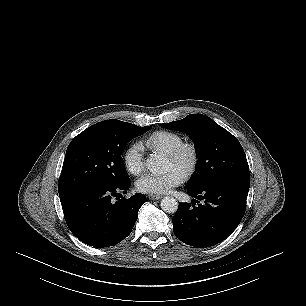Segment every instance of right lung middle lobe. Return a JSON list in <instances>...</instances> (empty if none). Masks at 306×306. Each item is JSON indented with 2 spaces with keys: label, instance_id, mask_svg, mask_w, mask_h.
I'll return each mask as SVG.
<instances>
[{
  "label": "right lung middle lobe",
  "instance_id": "obj_1",
  "mask_svg": "<svg viewBox=\"0 0 306 306\" xmlns=\"http://www.w3.org/2000/svg\"><path fill=\"white\" fill-rule=\"evenodd\" d=\"M152 126L139 127L115 119L85 129L69 144L59 182V196L94 184L129 181L121 157L126 143Z\"/></svg>",
  "mask_w": 306,
  "mask_h": 306
}]
</instances>
